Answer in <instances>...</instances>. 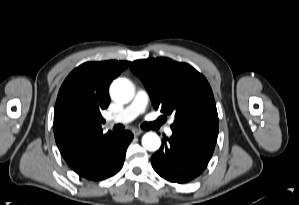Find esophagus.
<instances>
[{"label": "esophagus", "mask_w": 299, "mask_h": 205, "mask_svg": "<svg viewBox=\"0 0 299 205\" xmlns=\"http://www.w3.org/2000/svg\"><path fill=\"white\" fill-rule=\"evenodd\" d=\"M132 133H133L134 136H139L140 134L143 133V131L142 130H138V129H133Z\"/></svg>", "instance_id": "esophagus-1"}]
</instances>
